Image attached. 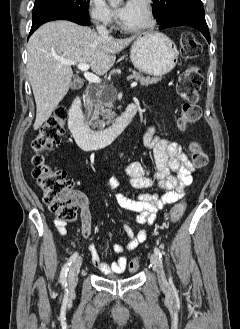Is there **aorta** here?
<instances>
[{
  "mask_svg": "<svg viewBox=\"0 0 240 329\" xmlns=\"http://www.w3.org/2000/svg\"><path fill=\"white\" fill-rule=\"evenodd\" d=\"M120 0H108L111 6H115L119 3Z\"/></svg>",
  "mask_w": 240,
  "mask_h": 329,
  "instance_id": "obj_1",
  "label": "aorta"
}]
</instances>
